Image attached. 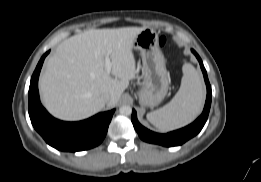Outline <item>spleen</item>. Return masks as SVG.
Masks as SVG:
<instances>
[{
  "mask_svg": "<svg viewBox=\"0 0 261 182\" xmlns=\"http://www.w3.org/2000/svg\"><path fill=\"white\" fill-rule=\"evenodd\" d=\"M182 71L181 86L173 99L146 116L160 131L167 132L187 125L203 108L205 90L200 73L189 63L183 65Z\"/></svg>",
  "mask_w": 261,
  "mask_h": 182,
  "instance_id": "3e777b00",
  "label": "spleen"
}]
</instances>
